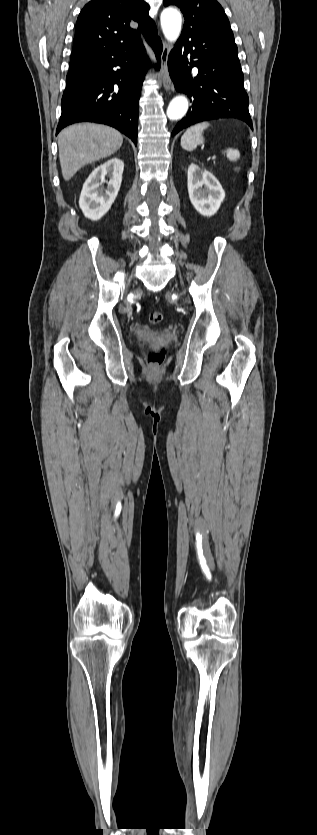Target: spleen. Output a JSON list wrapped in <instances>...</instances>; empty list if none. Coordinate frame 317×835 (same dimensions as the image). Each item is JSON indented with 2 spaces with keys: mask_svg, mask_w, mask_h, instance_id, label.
<instances>
[{
  "mask_svg": "<svg viewBox=\"0 0 317 835\" xmlns=\"http://www.w3.org/2000/svg\"><path fill=\"white\" fill-rule=\"evenodd\" d=\"M209 126L208 122H201L188 128L181 137V147L184 150L192 151L197 145L203 144V131ZM222 154L226 155L230 161H237L240 158V152L236 148H227Z\"/></svg>",
  "mask_w": 317,
  "mask_h": 835,
  "instance_id": "obj_1",
  "label": "spleen"
}]
</instances>
